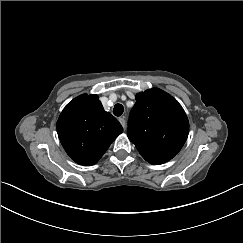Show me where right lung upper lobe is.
<instances>
[{"label":"right lung upper lobe","mask_w":243,"mask_h":243,"mask_svg":"<svg viewBox=\"0 0 243 243\" xmlns=\"http://www.w3.org/2000/svg\"><path fill=\"white\" fill-rule=\"evenodd\" d=\"M58 137L76 163L95 164L123 132L118 120L106 112L97 95L82 94L62 111L56 124Z\"/></svg>","instance_id":"1"}]
</instances>
